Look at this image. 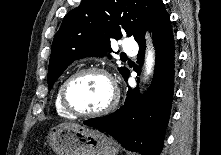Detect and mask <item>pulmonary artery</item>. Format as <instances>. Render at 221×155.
Segmentation results:
<instances>
[{
    "mask_svg": "<svg viewBox=\"0 0 221 155\" xmlns=\"http://www.w3.org/2000/svg\"><path fill=\"white\" fill-rule=\"evenodd\" d=\"M137 49V44L132 39H126L123 42V51L126 53L134 55L137 52Z\"/></svg>",
    "mask_w": 221,
    "mask_h": 155,
    "instance_id": "e3ab8cb5",
    "label": "pulmonary artery"
}]
</instances>
